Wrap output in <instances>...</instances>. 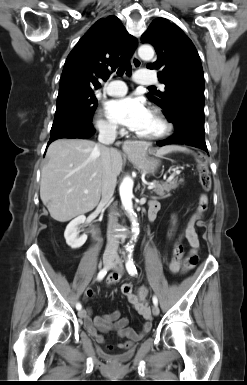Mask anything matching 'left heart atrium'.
<instances>
[{
  "label": "left heart atrium",
  "mask_w": 247,
  "mask_h": 385,
  "mask_svg": "<svg viewBox=\"0 0 247 385\" xmlns=\"http://www.w3.org/2000/svg\"><path fill=\"white\" fill-rule=\"evenodd\" d=\"M107 114L113 122L137 132L148 120L150 111L142 99L127 96L110 101Z\"/></svg>",
  "instance_id": "39dd6f15"
}]
</instances>
